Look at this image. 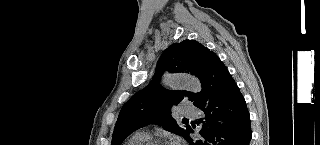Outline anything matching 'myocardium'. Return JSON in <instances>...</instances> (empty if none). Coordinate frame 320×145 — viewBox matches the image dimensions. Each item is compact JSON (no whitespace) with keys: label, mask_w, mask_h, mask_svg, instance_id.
I'll use <instances>...</instances> for the list:
<instances>
[{"label":"myocardium","mask_w":320,"mask_h":145,"mask_svg":"<svg viewBox=\"0 0 320 145\" xmlns=\"http://www.w3.org/2000/svg\"><path fill=\"white\" fill-rule=\"evenodd\" d=\"M143 145H164V142L160 140H150L144 143Z\"/></svg>","instance_id":"f54148a6"}]
</instances>
